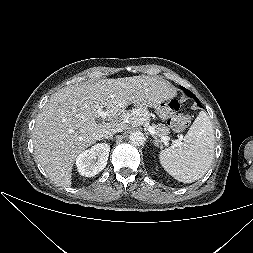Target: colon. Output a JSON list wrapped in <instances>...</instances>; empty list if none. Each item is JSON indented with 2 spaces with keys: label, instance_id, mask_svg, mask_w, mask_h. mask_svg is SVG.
<instances>
[{
  "label": "colon",
  "instance_id": "5ec220e1",
  "mask_svg": "<svg viewBox=\"0 0 253 253\" xmlns=\"http://www.w3.org/2000/svg\"><path fill=\"white\" fill-rule=\"evenodd\" d=\"M165 113L168 115V123L175 131L186 128L190 123L188 115L180 112V105L177 100H173L164 108Z\"/></svg>",
  "mask_w": 253,
  "mask_h": 253
}]
</instances>
